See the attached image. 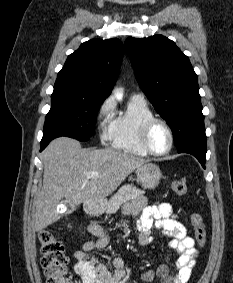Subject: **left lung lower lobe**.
I'll list each match as a JSON object with an SVG mask.
<instances>
[{"label": "left lung lower lobe", "instance_id": "left-lung-lower-lobe-1", "mask_svg": "<svg viewBox=\"0 0 233 283\" xmlns=\"http://www.w3.org/2000/svg\"><path fill=\"white\" fill-rule=\"evenodd\" d=\"M179 153L192 154L199 160L203 168H205L206 144H201V143L189 144L187 146L179 148Z\"/></svg>", "mask_w": 233, "mask_h": 283}]
</instances>
